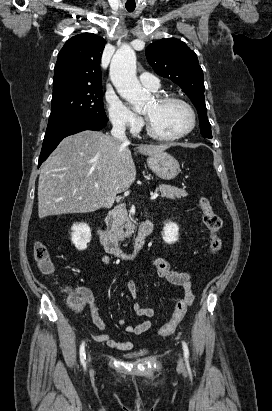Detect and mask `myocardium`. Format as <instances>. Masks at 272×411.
Instances as JSON below:
<instances>
[{
    "label": "myocardium",
    "instance_id": "1",
    "mask_svg": "<svg viewBox=\"0 0 272 411\" xmlns=\"http://www.w3.org/2000/svg\"><path fill=\"white\" fill-rule=\"evenodd\" d=\"M156 101L161 104H169V103L176 102V103H180L184 105L190 113L191 122H190L189 127L185 131L181 132L180 134L167 136V135H163L157 132L152 127L151 123L149 122L147 118L146 119V132L150 137H152L153 139L159 140V141L172 142V141H177V140L185 138L195 129L196 123H197L196 112L193 106L187 100L179 96H175V95H158L156 97Z\"/></svg>",
    "mask_w": 272,
    "mask_h": 411
}]
</instances>
